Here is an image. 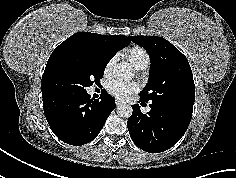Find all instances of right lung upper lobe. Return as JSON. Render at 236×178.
I'll return each mask as SVG.
<instances>
[{
	"mask_svg": "<svg viewBox=\"0 0 236 178\" xmlns=\"http://www.w3.org/2000/svg\"><path fill=\"white\" fill-rule=\"evenodd\" d=\"M130 40L125 35H100L96 33L80 32L75 33L62 42L51 54L46 68L63 51L71 48H89L103 50L112 53L114 56L117 51L126 47ZM45 68V69H46Z\"/></svg>",
	"mask_w": 236,
	"mask_h": 178,
	"instance_id": "right-lung-upper-lobe-1",
	"label": "right lung upper lobe"
}]
</instances>
